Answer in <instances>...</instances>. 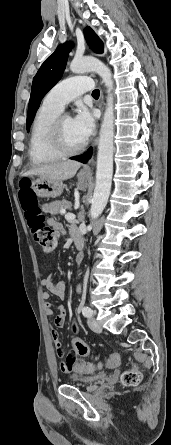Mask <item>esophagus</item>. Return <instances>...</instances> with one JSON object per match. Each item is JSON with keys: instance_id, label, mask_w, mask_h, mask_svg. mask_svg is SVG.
<instances>
[{"instance_id": "1", "label": "esophagus", "mask_w": 171, "mask_h": 445, "mask_svg": "<svg viewBox=\"0 0 171 445\" xmlns=\"http://www.w3.org/2000/svg\"><path fill=\"white\" fill-rule=\"evenodd\" d=\"M102 100H103V97H102ZM93 164H94V159L91 158V159L89 160V162H88L86 165L83 166V168L81 169V172H82V173H87V174L90 173Z\"/></svg>"}]
</instances>
